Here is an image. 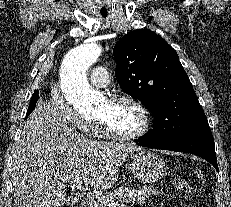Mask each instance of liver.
<instances>
[{
    "label": "liver",
    "mask_w": 231,
    "mask_h": 207,
    "mask_svg": "<svg viewBox=\"0 0 231 207\" xmlns=\"http://www.w3.org/2000/svg\"><path fill=\"white\" fill-rule=\"evenodd\" d=\"M132 144L90 140L79 134L49 102L40 101L25 122L11 168L15 207H61L63 179L111 188Z\"/></svg>",
    "instance_id": "1"
}]
</instances>
